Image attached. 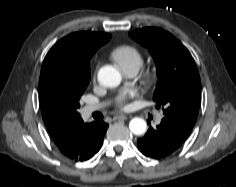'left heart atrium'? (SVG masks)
Instances as JSON below:
<instances>
[{
    "label": "left heart atrium",
    "instance_id": "1",
    "mask_svg": "<svg viewBox=\"0 0 236 187\" xmlns=\"http://www.w3.org/2000/svg\"><path fill=\"white\" fill-rule=\"evenodd\" d=\"M132 96H134L133 91H128V92L119 94L116 98V106L119 109H125L127 107V104H126L127 100Z\"/></svg>",
    "mask_w": 236,
    "mask_h": 187
}]
</instances>
